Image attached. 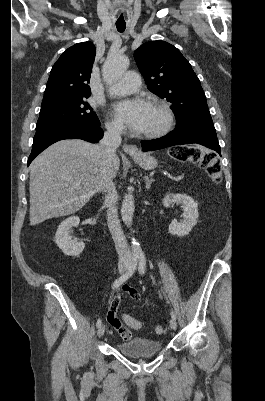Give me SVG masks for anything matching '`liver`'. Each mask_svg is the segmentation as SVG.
<instances>
[{
    "instance_id": "liver-1",
    "label": "liver",
    "mask_w": 265,
    "mask_h": 401,
    "mask_svg": "<svg viewBox=\"0 0 265 401\" xmlns=\"http://www.w3.org/2000/svg\"><path fill=\"white\" fill-rule=\"evenodd\" d=\"M103 148L85 140H59L31 162L30 225L80 211L96 190L106 166ZM120 158L115 156L112 176Z\"/></svg>"
}]
</instances>
